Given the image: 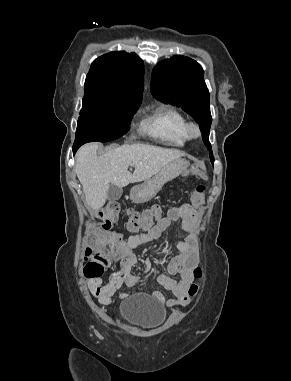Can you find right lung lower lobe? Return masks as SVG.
<instances>
[{"label": "right lung lower lobe", "instance_id": "1", "mask_svg": "<svg viewBox=\"0 0 291 381\" xmlns=\"http://www.w3.org/2000/svg\"><path fill=\"white\" fill-rule=\"evenodd\" d=\"M79 147H80V145H76V144L73 145V154L76 153V151H77V149H78Z\"/></svg>", "mask_w": 291, "mask_h": 381}]
</instances>
